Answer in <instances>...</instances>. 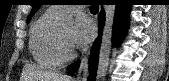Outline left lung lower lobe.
I'll return each instance as SVG.
<instances>
[{"instance_id":"obj_1","label":"left lung lower lobe","mask_w":169,"mask_h":81,"mask_svg":"<svg viewBox=\"0 0 169 81\" xmlns=\"http://www.w3.org/2000/svg\"><path fill=\"white\" fill-rule=\"evenodd\" d=\"M131 5L129 4H116L114 24H113V42L115 44L126 34L128 24H129V14H130ZM104 23V11H101L99 14V27L102 28ZM101 42V35L96 40L94 47L92 49V55L90 57V76L89 81H95L96 69H97V55ZM80 61H77L70 66H68V71L74 73L79 68Z\"/></svg>"}]
</instances>
